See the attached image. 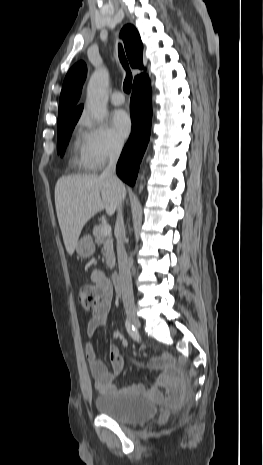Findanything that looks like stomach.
<instances>
[{"instance_id":"1","label":"stomach","mask_w":263,"mask_h":465,"mask_svg":"<svg viewBox=\"0 0 263 465\" xmlns=\"http://www.w3.org/2000/svg\"><path fill=\"white\" fill-rule=\"evenodd\" d=\"M76 252L82 258H88L95 252V245L93 239L89 235H85L76 244Z\"/></svg>"}]
</instances>
